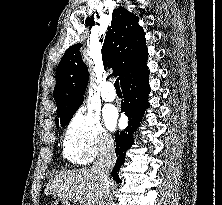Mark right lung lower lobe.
Instances as JSON below:
<instances>
[{"label": "right lung lower lobe", "mask_w": 222, "mask_h": 205, "mask_svg": "<svg viewBox=\"0 0 222 205\" xmlns=\"http://www.w3.org/2000/svg\"><path fill=\"white\" fill-rule=\"evenodd\" d=\"M148 80L149 70L148 67H146L121 83L124 98V101L121 102V111L127 115L129 121L128 127L123 131H117L115 135V153L117 161L111 175L117 183L120 182L118 172L125 161V152L129 149L134 140L132 138V133L140 124V118L144 114L145 109L149 106L147 101L150 91Z\"/></svg>", "instance_id": "right-lung-lower-lobe-1"}]
</instances>
